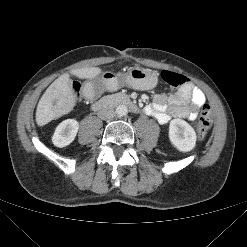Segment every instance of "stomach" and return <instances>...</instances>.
I'll return each instance as SVG.
<instances>
[{
    "instance_id": "0dacf381",
    "label": "stomach",
    "mask_w": 247,
    "mask_h": 247,
    "mask_svg": "<svg viewBox=\"0 0 247 247\" xmlns=\"http://www.w3.org/2000/svg\"><path fill=\"white\" fill-rule=\"evenodd\" d=\"M117 77L112 73H106L102 79L108 83L111 80H115ZM122 80L126 85L137 90H149L153 89L157 85V77L142 68H131L123 77Z\"/></svg>"
}]
</instances>
